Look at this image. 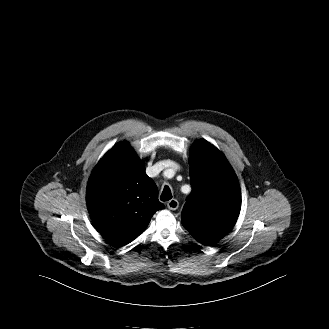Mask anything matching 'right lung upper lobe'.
<instances>
[{
	"mask_svg": "<svg viewBox=\"0 0 329 329\" xmlns=\"http://www.w3.org/2000/svg\"><path fill=\"white\" fill-rule=\"evenodd\" d=\"M86 199L94 226L119 246L136 239L153 214L164 208L154 181L127 142L118 143L98 162Z\"/></svg>",
	"mask_w": 329,
	"mask_h": 329,
	"instance_id": "cb5924a9",
	"label": "right lung upper lobe"
}]
</instances>
